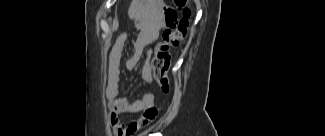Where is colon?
I'll return each instance as SVG.
<instances>
[{
  "label": "colon",
  "mask_w": 325,
  "mask_h": 136,
  "mask_svg": "<svg viewBox=\"0 0 325 136\" xmlns=\"http://www.w3.org/2000/svg\"><path fill=\"white\" fill-rule=\"evenodd\" d=\"M174 3L178 9L182 10L183 15L179 17L178 12L173 8L165 10V30L161 40L154 48L151 61L153 77L165 93L170 90L168 77L171 62L170 49L185 43L190 17V10L186 7V0H174Z\"/></svg>",
  "instance_id": "obj_1"
}]
</instances>
